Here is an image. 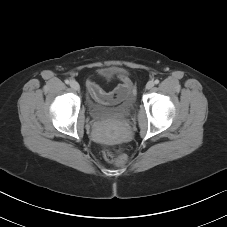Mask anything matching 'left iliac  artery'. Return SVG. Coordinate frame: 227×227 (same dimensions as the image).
Instances as JSON below:
<instances>
[{"instance_id":"44dca946","label":"left iliac artery","mask_w":227,"mask_h":227,"mask_svg":"<svg viewBox=\"0 0 227 227\" xmlns=\"http://www.w3.org/2000/svg\"><path fill=\"white\" fill-rule=\"evenodd\" d=\"M154 83H155V84H158V83H159V80H158V79H156V80L154 81Z\"/></svg>"}]
</instances>
